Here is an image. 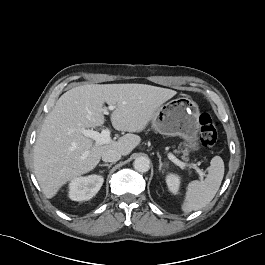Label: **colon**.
Instances as JSON below:
<instances>
[{"instance_id":"colon-1","label":"colon","mask_w":265,"mask_h":265,"mask_svg":"<svg viewBox=\"0 0 265 265\" xmlns=\"http://www.w3.org/2000/svg\"><path fill=\"white\" fill-rule=\"evenodd\" d=\"M199 131L202 145L212 147L217 140V126L215 120L208 113L200 115Z\"/></svg>"}]
</instances>
